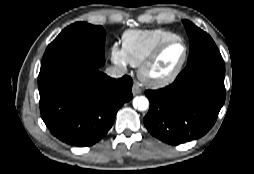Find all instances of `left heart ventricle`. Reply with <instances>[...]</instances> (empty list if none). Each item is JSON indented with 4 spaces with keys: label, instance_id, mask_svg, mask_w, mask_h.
<instances>
[{
    "label": "left heart ventricle",
    "instance_id": "left-heart-ventricle-1",
    "mask_svg": "<svg viewBox=\"0 0 254 174\" xmlns=\"http://www.w3.org/2000/svg\"><path fill=\"white\" fill-rule=\"evenodd\" d=\"M184 55V47L180 42L169 45L160 55L151 73L154 76H164L170 73L180 63Z\"/></svg>",
    "mask_w": 254,
    "mask_h": 174
}]
</instances>
